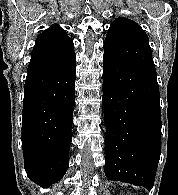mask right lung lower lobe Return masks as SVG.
Masks as SVG:
<instances>
[{
  "mask_svg": "<svg viewBox=\"0 0 178 195\" xmlns=\"http://www.w3.org/2000/svg\"><path fill=\"white\" fill-rule=\"evenodd\" d=\"M76 61L27 73L22 147L28 177L42 187L60 180L69 165Z\"/></svg>",
  "mask_w": 178,
  "mask_h": 195,
  "instance_id": "obj_1",
  "label": "right lung lower lobe"
}]
</instances>
